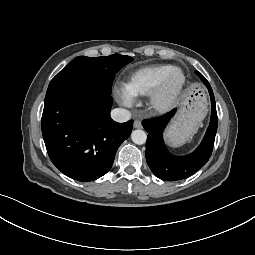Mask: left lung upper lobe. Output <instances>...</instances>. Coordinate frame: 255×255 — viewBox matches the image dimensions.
<instances>
[{"label": "left lung upper lobe", "mask_w": 255, "mask_h": 255, "mask_svg": "<svg viewBox=\"0 0 255 255\" xmlns=\"http://www.w3.org/2000/svg\"><path fill=\"white\" fill-rule=\"evenodd\" d=\"M196 74L200 77V78H205L200 72L196 71Z\"/></svg>", "instance_id": "1"}]
</instances>
